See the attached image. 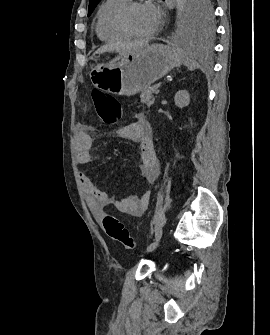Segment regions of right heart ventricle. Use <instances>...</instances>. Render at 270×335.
I'll return each mask as SVG.
<instances>
[{
	"instance_id": "e07e8e85",
	"label": "right heart ventricle",
	"mask_w": 270,
	"mask_h": 335,
	"mask_svg": "<svg viewBox=\"0 0 270 335\" xmlns=\"http://www.w3.org/2000/svg\"><path fill=\"white\" fill-rule=\"evenodd\" d=\"M129 4L122 0H106L97 12L95 34L104 42L112 43L123 39L127 36L122 34L116 25V16L121 8ZM150 78V77H137Z\"/></svg>"
}]
</instances>
